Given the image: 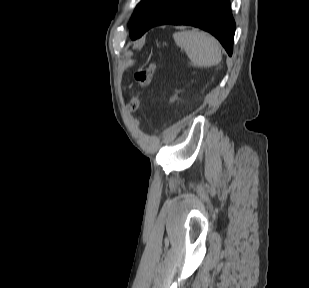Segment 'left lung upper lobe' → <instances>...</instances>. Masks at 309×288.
Here are the masks:
<instances>
[{
	"label": "left lung upper lobe",
	"mask_w": 309,
	"mask_h": 288,
	"mask_svg": "<svg viewBox=\"0 0 309 288\" xmlns=\"http://www.w3.org/2000/svg\"><path fill=\"white\" fill-rule=\"evenodd\" d=\"M160 0H141L129 22L130 37L136 34Z\"/></svg>",
	"instance_id": "obj_1"
}]
</instances>
